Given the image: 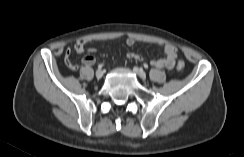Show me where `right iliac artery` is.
Listing matches in <instances>:
<instances>
[{
    "instance_id": "1",
    "label": "right iliac artery",
    "mask_w": 244,
    "mask_h": 157,
    "mask_svg": "<svg viewBox=\"0 0 244 157\" xmlns=\"http://www.w3.org/2000/svg\"><path fill=\"white\" fill-rule=\"evenodd\" d=\"M102 67H103L102 64H99V65H98V69H101Z\"/></svg>"
}]
</instances>
